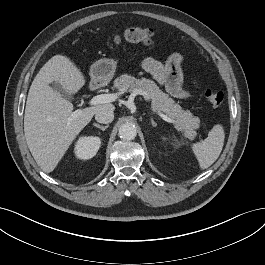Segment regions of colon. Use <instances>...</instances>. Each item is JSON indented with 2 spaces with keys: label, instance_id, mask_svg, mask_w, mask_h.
<instances>
[{
  "label": "colon",
  "instance_id": "5ec220e1",
  "mask_svg": "<svg viewBox=\"0 0 265 265\" xmlns=\"http://www.w3.org/2000/svg\"><path fill=\"white\" fill-rule=\"evenodd\" d=\"M154 37V32L148 28H141L138 26L128 27L122 34L115 35L109 39L111 44H120L123 42L130 43H151ZM205 98L207 102L217 108L222 105L224 101V94L216 88H207L205 90Z\"/></svg>",
  "mask_w": 265,
  "mask_h": 265
}]
</instances>
